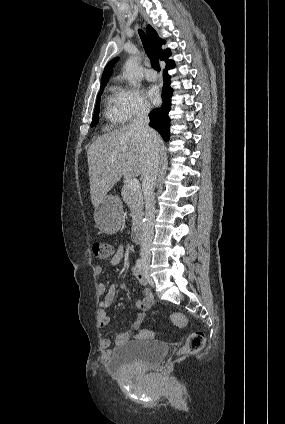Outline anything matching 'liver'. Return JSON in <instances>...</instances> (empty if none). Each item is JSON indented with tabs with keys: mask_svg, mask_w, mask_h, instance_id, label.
Wrapping results in <instances>:
<instances>
[{
	"mask_svg": "<svg viewBox=\"0 0 285 424\" xmlns=\"http://www.w3.org/2000/svg\"><path fill=\"white\" fill-rule=\"evenodd\" d=\"M158 147L160 136L156 133ZM91 202L96 207L122 176H143L148 161L145 138L131 125L99 137L87 150Z\"/></svg>",
	"mask_w": 285,
	"mask_h": 424,
	"instance_id": "liver-1",
	"label": "liver"
}]
</instances>
